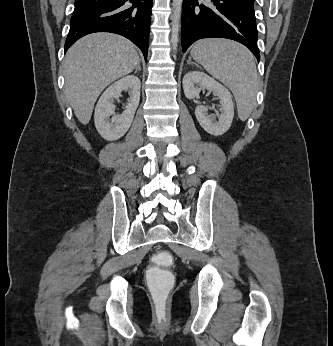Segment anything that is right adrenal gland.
<instances>
[{
	"label": "right adrenal gland",
	"instance_id": "2a0ac1e0",
	"mask_svg": "<svg viewBox=\"0 0 333 346\" xmlns=\"http://www.w3.org/2000/svg\"><path fill=\"white\" fill-rule=\"evenodd\" d=\"M137 71H141V66H140V63H138L136 69H135V73H137Z\"/></svg>",
	"mask_w": 333,
	"mask_h": 346
}]
</instances>
